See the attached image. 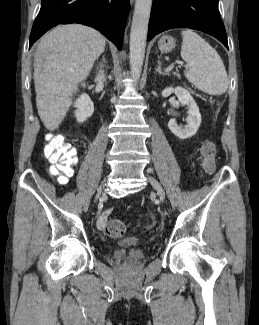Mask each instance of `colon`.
Masks as SVG:
<instances>
[{"instance_id":"colon-1","label":"colon","mask_w":259,"mask_h":325,"mask_svg":"<svg viewBox=\"0 0 259 325\" xmlns=\"http://www.w3.org/2000/svg\"><path fill=\"white\" fill-rule=\"evenodd\" d=\"M45 156L50 161V172L57 176L58 182L65 184L74 173L77 164L75 148L61 136H52L45 147ZM216 148L212 142H206L201 148L202 166L207 173L215 170ZM105 232L112 238L124 235L126 227L119 219L106 221Z\"/></svg>"}]
</instances>
